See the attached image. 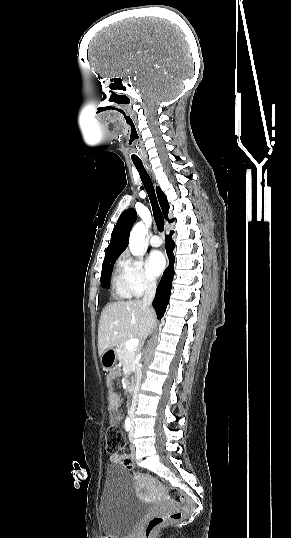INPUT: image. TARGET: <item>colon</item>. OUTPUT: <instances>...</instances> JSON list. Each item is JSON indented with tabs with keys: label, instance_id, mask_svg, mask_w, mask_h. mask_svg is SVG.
<instances>
[{
	"label": "colon",
	"instance_id": "obj_1",
	"mask_svg": "<svg viewBox=\"0 0 291 538\" xmlns=\"http://www.w3.org/2000/svg\"><path fill=\"white\" fill-rule=\"evenodd\" d=\"M125 445V436L118 426H109L106 431V450L109 454H117ZM123 466L128 470L133 469L132 459L125 458ZM169 495L171 499L179 504V507L166 514H156L148 519L143 528V538H152L158 529L168 521H178L182 519L190 511V501L178 490L170 489Z\"/></svg>",
	"mask_w": 291,
	"mask_h": 538
}]
</instances>
